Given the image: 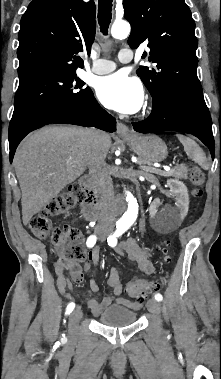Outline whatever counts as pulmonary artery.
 Masks as SVG:
<instances>
[{"label":"pulmonary artery","mask_w":221,"mask_h":379,"mask_svg":"<svg viewBox=\"0 0 221 379\" xmlns=\"http://www.w3.org/2000/svg\"><path fill=\"white\" fill-rule=\"evenodd\" d=\"M133 58V53L130 49H122L118 54V60L121 63L130 62ZM116 68V63L105 59H96L93 61L91 71L95 74H107Z\"/></svg>","instance_id":"pulmonary-artery-1"}]
</instances>
